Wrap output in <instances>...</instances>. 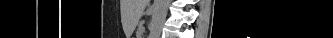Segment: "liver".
<instances>
[{
    "label": "liver",
    "instance_id": "6515ba94",
    "mask_svg": "<svg viewBox=\"0 0 333 38\" xmlns=\"http://www.w3.org/2000/svg\"><path fill=\"white\" fill-rule=\"evenodd\" d=\"M148 0H133V22L137 23L145 9Z\"/></svg>",
    "mask_w": 333,
    "mask_h": 38
}]
</instances>
